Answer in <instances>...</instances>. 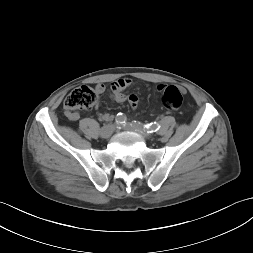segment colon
I'll return each mask as SVG.
<instances>
[{
    "mask_svg": "<svg viewBox=\"0 0 253 253\" xmlns=\"http://www.w3.org/2000/svg\"><path fill=\"white\" fill-rule=\"evenodd\" d=\"M162 102L168 111L178 110L183 102L182 93L175 86H167L162 90ZM98 93L89 86H81L73 90L65 99L64 107L69 112L88 109L95 105Z\"/></svg>",
    "mask_w": 253,
    "mask_h": 253,
    "instance_id": "obj_1",
    "label": "colon"
}]
</instances>
